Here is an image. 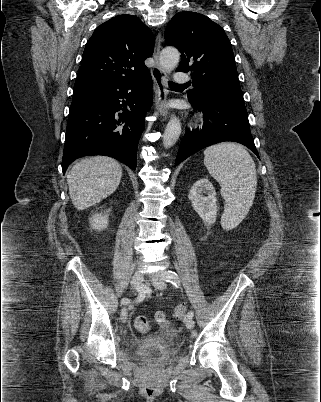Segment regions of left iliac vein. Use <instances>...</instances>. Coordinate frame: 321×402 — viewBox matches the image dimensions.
Returning a JSON list of instances; mask_svg holds the SVG:
<instances>
[{
  "label": "left iliac vein",
  "mask_w": 321,
  "mask_h": 402,
  "mask_svg": "<svg viewBox=\"0 0 321 402\" xmlns=\"http://www.w3.org/2000/svg\"><path fill=\"white\" fill-rule=\"evenodd\" d=\"M164 274H165L164 271H160V272L155 273V274L152 276V283H153V285H154L156 288L160 289V290L166 289V286H167V285H166V282H165V279H164ZM185 324H186V327H187L188 329H193L195 323H194V321H193L192 318L187 317V318L185 319Z\"/></svg>",
  "instance_id": "4c4485c4"
}]
</instances>
